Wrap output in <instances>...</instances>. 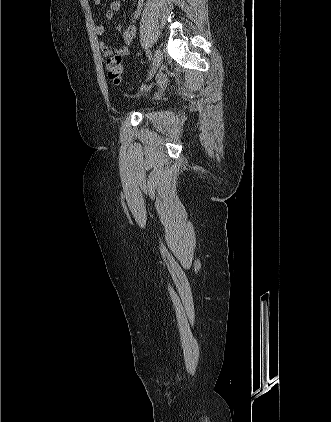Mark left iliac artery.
Instances as JSON below:
<instances>
[{
	"label": "left iliac artery",
	"instance_id": "obj_1",
	"mask_svg": "<svg viewBox=\"0 0 331 422\" xmlns=\"http://www.w3.org/2000/svg\"><path fill=\"white\" fill-rule=\"evenodd\" d=\"M146 54H147L149 60H151L152 59V54H151V52H150V50L148 48H146Z\"/></svg>",
	"mask_w": 331,
	"mask_h": 422
}]
</instances>
